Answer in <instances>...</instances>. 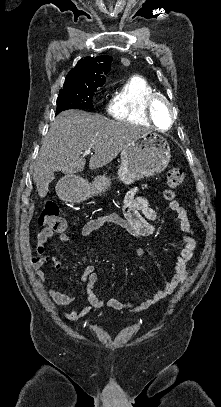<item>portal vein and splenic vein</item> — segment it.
Here are the masks:
<instances>
[{
	"mask_svg": "<svg viewBox=\"0 0 221 407\" xmlns=\"http://www.w3.org/2000/svg\"><path fill=\"white\" fill-rule=\"evenodd\" d=\"M91 153V149H86L84 152H83V155H89Z\"/></svg>",
	"mask_w": 221,
	"mask_h": 407,
	"instance_id": "18ae733b",
	"label": "portal vein and splenic vein"
}]
</instances>
